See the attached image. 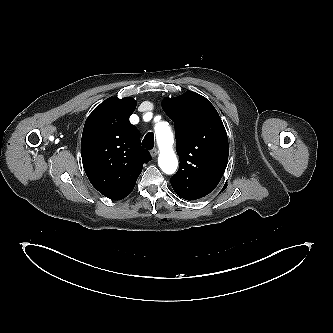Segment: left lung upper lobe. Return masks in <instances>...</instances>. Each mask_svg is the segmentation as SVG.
I'll use <instances>...</instances> for the list:
<instances>
[{
	"instance_id": "left-lung-upper-lobe-1",
	"label": "left lung upper lobe",
	"mask_w": 333,
	"mask_h": 333,
	"mask_svg": "<svg viewBox=\"0 0 333 333\" xmlns=\"http://www.w3.org/2000/svg\"><path fill=\"white\" fill-rule=\"evenodd\" d=\"M162 108L175 122L178 172L170 182L188 201L208 195L220 182L228 162V137L214 106L203 96L187 91L165 98Z\"/></svg>"
}]
</instances>
